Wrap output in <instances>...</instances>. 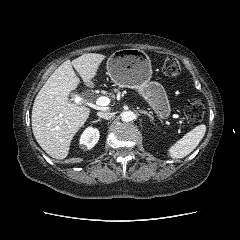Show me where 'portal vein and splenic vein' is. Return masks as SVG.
<instances>
[{
	"label": "portal vein and splenic vein",
	"instance_id": "1",
	"mask_svg": "<svg viewBox=\"0 0 240 240\" xmlns=\"http://www.w3.org/2000/svg\"><path fill=\"white\" fill-rule=\"evenodd\" d=\"M110 103V99L105 96L98 97L96 100V105L98 106H107ZM173 118L179 119L181 118L178 114H173Z\"/></svg>",
	"mask_w": 240,
	"mask_h": 240
}]
</instances>
